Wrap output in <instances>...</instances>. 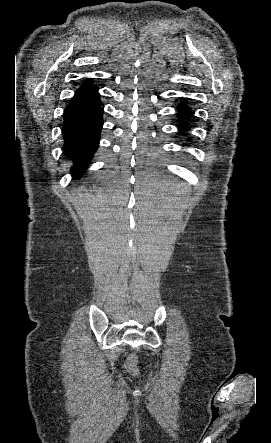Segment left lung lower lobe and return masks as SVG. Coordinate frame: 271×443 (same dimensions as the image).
Here are the masks:
<instances>
[{
    "label": "left lung lower lobe",
    "mask_w": 271,
    "mask_h": 443,
    "mask_svg": "<svg viewBox=\"0 0 271 443\" xmlns=\"http://www.w3.org/2000/svg\"><path fill=\"white\" fill-rule=\"evenodd\" d=\"M192 116V112L187 108L185 103H181L178 108V118L182 122L178 124V128L181 132V135H184V130H189L190 126L187 123H183L185 119H190Z\"/></svg>",
    "instance_id": "0a47b994"
}]
</instances>
